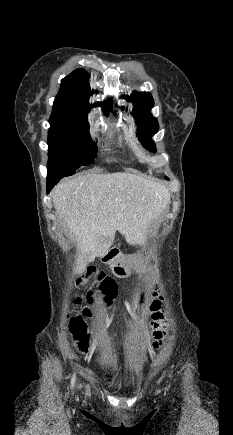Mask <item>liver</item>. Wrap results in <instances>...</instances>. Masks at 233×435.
<instances>
[{"instance_id":"1","label":"liver","mask_w":233,"mask_h":435,"mask_svg":"<svg viewBox=\"0 0 233 435\" xmlns=\"http://www.w3.org/2000/svg\"><path fill=\"white\" fill-rule=\"evenodd\" d=\"M53 204L79 252L105 255L119 230L130 245H145L168 208L170 192L160 182L128 172L88 173L63 180L52 191ZM84 271L80 261L74 268Z\"/></svg>"}]
</instances>
